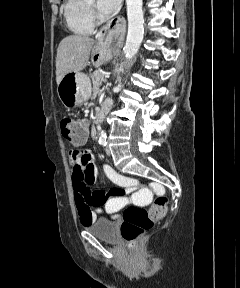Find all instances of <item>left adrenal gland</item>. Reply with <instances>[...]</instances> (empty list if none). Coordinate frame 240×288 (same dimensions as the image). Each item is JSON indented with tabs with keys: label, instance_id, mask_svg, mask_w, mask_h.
Returning a JSON list of instances; mask_svg holds the SVG:
<instances>
[{
	"label": "left adrenal gland",
	"instance_id": "a2214340",
	"mask_svg": "<svg viewBox=\"0 0 240 288\" xmlns=\"http://www.w3.org/2000/svg\"><path fill=\"white\" fill-rule=\"evenodd\" d=\"M117 81L120 83L121 82V77H117Z\"/></svg>",
	"mask_w": 240,
	"mask_h": 288
}]
</instances>
